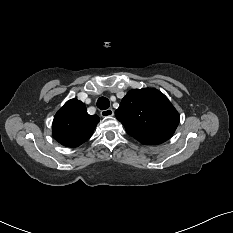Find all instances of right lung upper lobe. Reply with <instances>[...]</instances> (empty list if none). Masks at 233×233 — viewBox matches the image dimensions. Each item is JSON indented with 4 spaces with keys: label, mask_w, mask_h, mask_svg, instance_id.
<instances>
[{
    "label": "right lung upper lobe",
    "mask_w": 233,
    "mask_h": 233,
    "mask_svg": "<svg viewBox=\"0 0 233 233\" xmlns=\"http://www.w3.org/2000/svg\"><path fill=\"white\" fill-rule=\"evenodd\" d=\"M98 122L99 117L89 115L84 103L71 99L54 117L53 137L64 146L77 147L91 137Z\"/></svg>",
    "instance_id": "right-lung-upper-lobe-1"
}]
</instances>
